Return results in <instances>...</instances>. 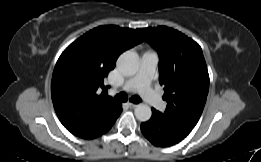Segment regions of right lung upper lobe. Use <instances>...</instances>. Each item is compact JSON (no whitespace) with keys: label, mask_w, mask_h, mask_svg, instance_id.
Wrapping results in <instances>:
<instances>
[{"label":"right lung upper lobe","mask_w":261,"mask_h":162,"mask_svg":"<svg viewBox=\"0 0 261 162\" xmlns=\"http://www.w3.org/2000/svg\"><path fill=\"white\" fill-rule=\"evenodd\" d=\"M143 40L138 29L104 25L85 33L61 54L52 75L51 96L68 131L94 139L111 128L122 105L98 90L107 92L104 79L119 55Z\"/></svg>","instance_id":"obj_1"}]
</instances>
